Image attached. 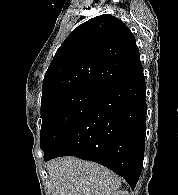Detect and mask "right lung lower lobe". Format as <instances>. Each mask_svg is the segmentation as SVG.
Instances as JSON below:
<instances>
[{
  "mask_svg": "<svg viewBox=\"0 0 178 195\" xmlns=\"http://www.w3.org/2000/svg\"><path fill=\"white\" fill-rule=\"evenodd\" d=\"M143 69L98 91L83 118L44 160L75 156L104 165L132 189L142 171L146 136Z\"/></svg>",
  "mask_w": 178,
  "mask_h": 195,
  "instance_id": "obj_1",
  "label": "right lung lower lobe"
}]
</instances>
